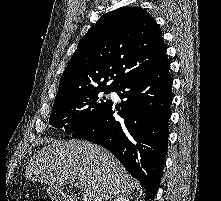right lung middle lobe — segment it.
<instances>
[{
    "mask_svg": "<svg viewBox=\"0 0 221 201\" xmlns=\"http://www.w3.org/2000/svg\"><path fill=\"white\" fill-rule=\"evenodd\" d=\"M114 91L108 88H94L72 93L55 99L49 124L65 128L66 133H74L99 117L111 104L102 92Z\"/></svg>",
    "mask_w": 221,
    "mask_h": 201,
    "instance_id": "1",
    "label": "right lung middle lobe"
}]
</instances>
